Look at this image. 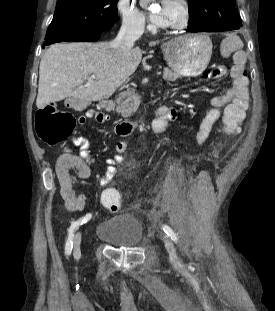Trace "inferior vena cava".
Instances as JSON below:
<instances>
[{
    "label": "inferior vena cava",
    "mask_w": 275,
    "mask_h": 311,
    "mask_svg": "<svg viewBox=\"0 0 275 311\" xmlns=\"http://www.w3.org/2000/svg\"><path fill=\"white\" fill-rule=\"evenodd\" d=\"M144 23L142 21L123 22L120 31L112 42V46L121 53L130 51L134 42L143 34Z\"/></svg>",
    "instance_id": "inferior-vena-cava-1"
}]
</instances>
